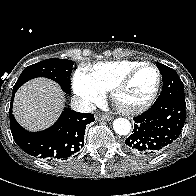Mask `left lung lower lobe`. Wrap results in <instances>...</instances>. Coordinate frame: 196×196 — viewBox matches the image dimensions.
<instances>
[{
  "label": "left lung lower lobe",
  "mask_w": 196,
  "mask_h": 196,
  "mask_svg": "<svg viewBox=\"0 0 196 196\" xmlns=\"http://www.w3.org/2000/svg\"><path fill=\"white\" fill-rule=\"evenodd\" d=\"M185 118V99L156 100L151 108L134 118L133 132L125 140L126 150L145 157L159 154L181 134Z\"/></svg>",
  "instance_id": "0a47b994"
}]
</instances>
